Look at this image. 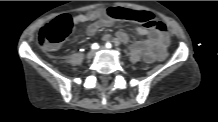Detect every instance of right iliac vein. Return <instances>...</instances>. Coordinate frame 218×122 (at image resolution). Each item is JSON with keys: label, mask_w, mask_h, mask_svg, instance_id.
<instances>
[{"label": "right iliac vein", "mask_w": 218, "mask_h": 122, "mask_svg": "<svg viewBox=\"0 0 218 122\" xmlns=\"http://www.w3.org/2000/svg\"><path fill=\"white\" fill-rule=\"evenodd\" d=\"M87 61L89 62V61H91V59L93 58V52L92 51H90L88 54H87Z\"/></svg>", "instance_id": "obj_1"}]
</instances>
